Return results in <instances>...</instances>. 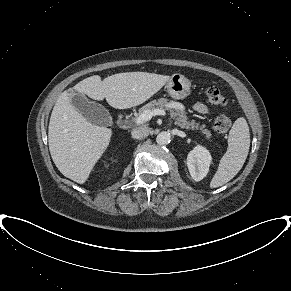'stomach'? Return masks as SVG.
Wrapping results in <instances>:
<instances>
[{"mask_svg": "<svg viewBox=\"0 0 291 291\" xmlns=\"http://www.w3.org/2000/svg\"><path fill=\"white\" fill-rule=\"evenodd\" d=\"M168 94L177 100L187 98L191 93V82L181 74H173L166 83Z\"/></svg>", "mask_w": 291, "mask_h": 291, "instance_id": "stomach-1", "label": "stomach"}]
</instances>
